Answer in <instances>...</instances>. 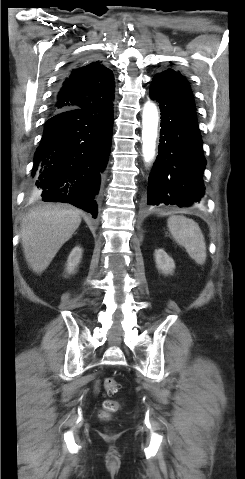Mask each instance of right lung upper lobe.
I'll use <instances>...</instances> for the list:
<instances>
[{"label":"right lung upper lobe","instance_id":"cb5924a9","mask_svg":"<svg viewBox=\"0 0 245 479\" xmlns=\"http://www.w3.org/2000/svg\"><path fill=\"white\" fill-rule=\"evenodd\" d=\"M114 77L99 60L75 63L64 76L51 107V113L71 108L107 106L114 101Z\"/></svg>","mask_w":245,"mask_h":479}]
</instances>
